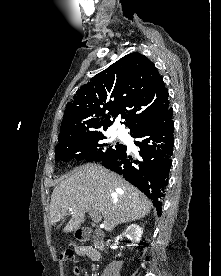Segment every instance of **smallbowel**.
Instances as JSON below:
<instances>
[{"mask_svg":"<svg viewBox=\"0 0 221 276\" xmlns=\"http://www.w3.org/2000/svg\"><path fill=\"white\" fill-rule=\"evenodd\" d=\"M76 253L79 256H86L93 261H98L100 259L99 252L91 246H79L76 248Z\"/></svg>","mask_w":221,"mask_h":276,"instance_id":"1","label":"small bowel"}]
</instances>
